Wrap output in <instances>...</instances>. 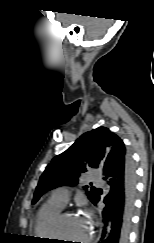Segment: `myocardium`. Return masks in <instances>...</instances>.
I'll use <instances>...</instances> for the list:
<instances>
[{
  "label": "myocardium",
  "mask_w": 154,
  "mask_h": 243,
  "mask_svg": "<svg viewBox=\"0 0 154 243\" xmlns=\"http://www.w3.org/2000/svg\"><path fill=\"white\" fill-rule=\"evenodd\" d=\"M74 215V213L70 210L66 211H61L54 219L53 224H52V230H53V236L57 240H61L62 236L60 235V224L63 218L67 216ZM94 237V229L93 226L91 227V232L90 235L82 241V243H90Z\"/></svg>",
  "instance_id": "myocardium-1"
}]
</instances>
